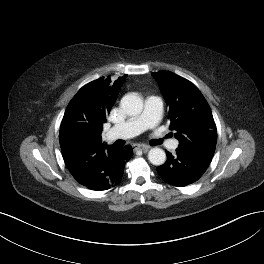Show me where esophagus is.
Instances as JSON below:
<instances>
[{
  "label": "esophagus",
  "instance_id": "esophagus-1",
  "mask_svg": "<svg viewBox=\"0 0 264 264\" xmlns=\"http://www.w3.org/2000/svg\"><path fill=\"white\" fill-rule=\"evenodd\" d=\"M149 146H147V145H142V144H135L134 146H133V150L134 151H138V150H140V151H143V152H147L148 150H149Z\"/></svg>",
  "mask_w": 264,
  "mask_h": 264
}]
</instances>
